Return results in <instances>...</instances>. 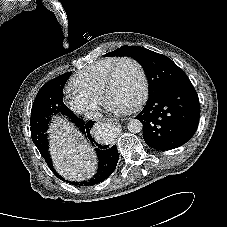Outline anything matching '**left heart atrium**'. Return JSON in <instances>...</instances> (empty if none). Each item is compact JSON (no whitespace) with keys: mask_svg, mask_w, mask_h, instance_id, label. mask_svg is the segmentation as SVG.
<instances>
[{"mask_svg":"<svg viewBox=\"0 0 227 227\" xmlns=\"http://www.w3.org/2000/svg\"><path fill=\"white\" fill-rule=\"evenodd\" d=\"M108 109H109V111H111L112 113L121 114V113L126 112L127 110H129V109H130V106H129V105L126 106V105H120V104L109 103Z\"/></svg>","mask_w":227,"mask_h":227,"instance_id":"1","label":"left heart atrium"}]
</instances>
